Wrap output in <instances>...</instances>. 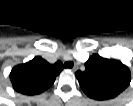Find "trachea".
<instances>
[{
	"label": "trachea",
	"instance_id": "1",
	"mask_svg": "<svg viewBox=\"0 0 133 106\" xmlns=\"http://www.w3.org/2000/svg\"><path fill=\"white\" fill-rule=\"evenodd\" d=\"M64 67L65 68H72L73 67V62H71V61L65 62Z\"/></svg>",
	"mask_w": 133,
	"mask_h": 106
}]
</instances>
